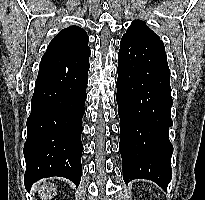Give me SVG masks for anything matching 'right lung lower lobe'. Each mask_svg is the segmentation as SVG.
<instances>
[{
  "label": "right lung lower lobe",
  "instance_id": "98d812e1",
  "mask_svg": "<svg viewBox=\"0 0 205 200\" xmlns=\"http://www.w3.org/2000/svg\"><path fill=\"white\" fill-rule=\"evenodd\" d=\"M90 49L45 53L41 59L24 145L25 187L61 176L76 187L82 175V117L87 98Z\"/></svg>",
  "mask_w": 205,
  "mask_h": 200
}]
</instances>
